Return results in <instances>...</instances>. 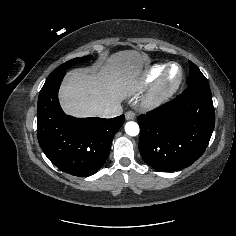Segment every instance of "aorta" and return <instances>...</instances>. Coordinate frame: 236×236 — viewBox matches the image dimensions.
<instances>
[{"label": "aorta", "mask_w": 236, "mask_h": 236, "mask_svg": "<svg viewBox=\"0 0 236 236\" xmlns=\"http://www.w3.org/2000/svg\"><path fill=\"white\" fill-rule=\"evenodd\" d=\"M139 125L134 121H129L125 124V132L130 136H137L139 134Z\"/></svg>", "instance_id": "762f6f07"}]
</instances>
